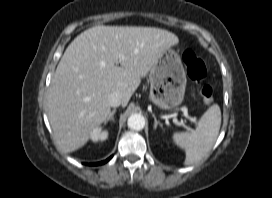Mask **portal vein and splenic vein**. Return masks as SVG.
Segmentation results:
<instances>
[{
	"instance_id": "obj_1",
	"label": "portal vein and splenic vein",
	"mask_w": 272,
	"mask_h": 198,
	"mask_svg": "<svg viewBox=\"0 0 272 198\" xmlns=\"http://www.w3.org/2000/svg\"><path fill=\"white\" fill-rule=\"evenodd\" d=\"M182 110H183L184 116H185L187 119L191 120L192 122H197V120H196L195 117H191V116L188 115V112H187L186 108H183ZM175 122H176L177 124H179V125H183V122H178L176 119H175Z\"/></svg>"
}]
</instances>
